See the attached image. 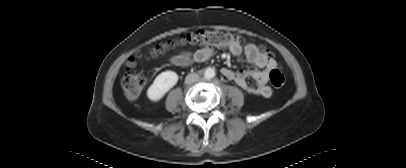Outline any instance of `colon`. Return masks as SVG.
<instances>
[{
  "instance_id": "obj_1",
  "label": "colon",
  "mask_w": 406,
  "mask_h": 168,
  "mask_svg": "<svg viewBox=\"0 0 406 168\" xmlns=\"http://www.w3.org/2000/svg\"><path fill=\"white\" fill-rule=\"evenodd\" d=\"M244 42V37L221 30H197L195 32L182 35L178 38H172L158 43L152 49H150L149 54L152 57H156L180 46L218 48L242 47ZM261 50L264 54L270 56V52L264 47H261ZM135 65L136 59L131 58L125 66L121 79L124 94L130 100H136L142 93L146 84L145 77L134 71ZM269 80L275 88L282 87L285 82L284 75L278 68H274L269 72Z\"/></svg>"
}]
</instances>
